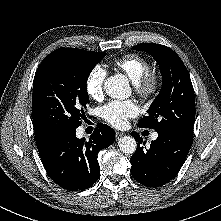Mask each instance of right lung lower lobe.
I'll return each mask as SVG.
<instances>
[{
    "label": "right lung lower lobe",
    "instance_id": "1",
    "mask_svg": "<svg viewBox=\"0 0 221 221\" xmlns=\"http://www.w3.org/2000/svg\"><path fill=\"white\" fill-rule=\"evenodd\" d=\"M114 130L99 124L89 141L76 137V129L51 133L37 143L43 166L60 187L78 191L92 186L100 177L97 154L114 143Z\"/></svg>",
    "mask_w": 221,
    "mask_h": 221
}]
</instances>
